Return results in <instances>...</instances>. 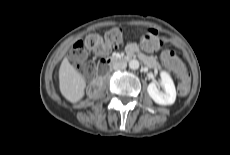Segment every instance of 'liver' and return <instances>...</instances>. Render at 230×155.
<instances>
[{"label": "liver", "instance_id": "liver-1", "mask_svg": "<svg viewBox=\"0 0 230 155\" xmlns=\"http://www.w3.org/2000/svg\"><path fill=\"white\" fill-rule=\"evenodd\" d=\"M85 87L84 78L65 57L59 68V89L61 94L71 103H76L84 97Z\"/></svg>", "mask_w": 230, "mask_h": 155}]
</instances>
